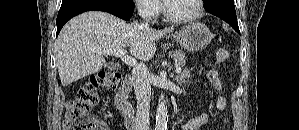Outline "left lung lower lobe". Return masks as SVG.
I'll return each mask as SVG.
<instances>
[{
	"label": "left lung lower lobe",
	"instance_id": "left-lung-lower-lobe-1",
	"mask_svg": "<svg viewBox=\"0 0 299 130\" xmlns=\"http://www.w3.org/2000/svg\"><path fill=\"white\" fill-rule=\"evenodd\" d=\"M204 5L207 12L226 21L240 34L233 0H208Z\"/></svg>",
	"mask_w": 299,
	"mask_h": 130
}]
</instances>
